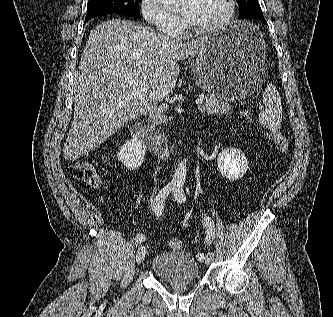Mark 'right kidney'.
<instances>
[{"instance_id": "obj_1", "label": "right kidney", "mask_w": 333, "mask_h": 317, "mask_svg": "<svg viewBox=\"0 0 333 317\" xmlns=\"http://www.w3.org/2000/svg\"><path fill=\"white\" fill-rule=\"evenodd\" d=\"M117 156L126 168L136 170L144 162L145 146L137 139L129 140L121 147Z\"/></svg>"}]
</instances>
